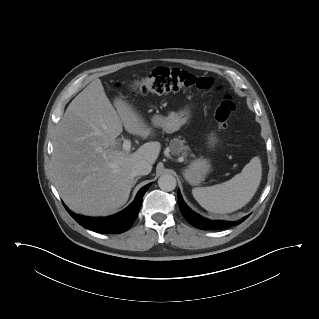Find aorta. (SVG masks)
I'll use <instances>...</instances> for the list:
<instances>
[{"label":"aorta","mask_w":319,"mask_h":319,"mask_svg":"<svg viewBox=\"0 0 319 319\" xmlns=\"http://www.w3.org/2000/svg\"><path fill=\"white\" fill-rule=\"evenodd\" d=\"M176 178L170 174L161 175L158 179V186L163 191H172L176 188Z\"/></svg>","instance_id":"obj_1"}]
</instances>
